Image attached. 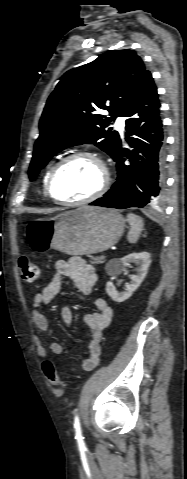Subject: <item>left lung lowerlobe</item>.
<instances>
[{
    "mask_svg": "<svg viewBox=\"0 0 187 479\" xmlns=\"http://www.w3.org/2000/svg\"><path fill=\"white\" fill-rule=\"evenodd\" d=\"M126 140L133 156L120 148L114 158L118 177L113 187L90 205L125 209L161 201L165 192V142L160 102L152 76L145 78L126 116ZM130 164H125L126 159Z\"/></svg>",
    "mask_w": 187,
    "mask_h": 479,
    "instance_id": "0a47b994",
    "label": "left lung lower lobe"
}]
</instances>
